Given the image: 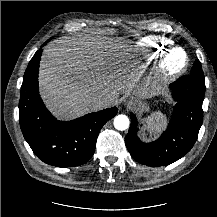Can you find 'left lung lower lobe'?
Returning a JSON list of instances; mask_svg holds the SVG:
<instances>
[{
  "label": "left lung lower lobe",
  "instance_id": "obj_1",
  "mask_svg": "<svg viewBox=\"0 0 217 217\" xmlns=\"http://www.w3.org/2000/svg\"><path fill=\"white\" fill-rule=\"evenodd\" d=\"M172 96L176 102L167 130L151 143H143L137 137V120L131 114V125L125 139L131 156L147 166L171 164L193 147L202 125L205 86L190 75L183 76L171 84Z\"/></svg>",
  "mask_w": 217,
  "mask_h": 217
}]
</instances>
